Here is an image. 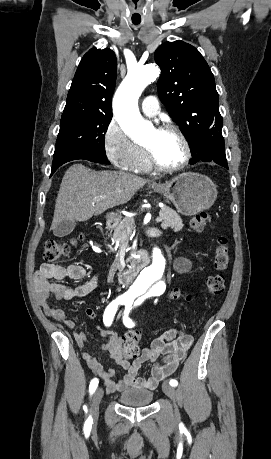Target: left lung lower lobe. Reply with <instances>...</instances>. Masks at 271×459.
<instances>
[{
    "label": "left lung lower lobe",
    "instance_id": "left-lung-lower-lobe-1",
    "mask_svg": "<svg viewBox=\"0 0 271 459\" xmlns=\"http://www.w3.org/2000/svg\"><path fill=\"white\" fill-rule=\"evenodd\" d=\"M221 130L214 131L207 140V149L201 158L197 161H191L190 164H195L196 162H210L214 161L215 163L228 169V164L225 156V147H224V138L222 136Z\"/></svg>",
    "mask_w": 271,
    "mask_h": 459
}]
</instances>
